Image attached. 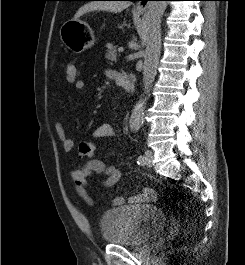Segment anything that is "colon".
Returning a JSON list of instances; mask_svg holds the SVG:
<instances>
[{
  "label": "colon",
  "instance_id": "1",
  "mask_svg": "<svg viewBox=\"0 0 245 265\" xmlns=\"http://www.w3.org/2000/svg\"><path fill=\"white\" fill-rule=\"evenodd\" d=\"M65 76L68 81L74 82L78 77V68L72 61H65L62 64ZM95 152V145L91 141H84L79 145V153L83 157H91Z\"/></svg>",
  "mask_w": 245,
  "mask_h": 265
}]
</instances>
